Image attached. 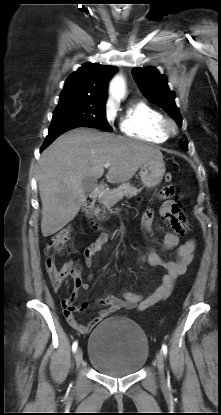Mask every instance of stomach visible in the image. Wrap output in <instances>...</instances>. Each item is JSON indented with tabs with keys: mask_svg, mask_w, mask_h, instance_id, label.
Wrapping results in <instances>:
<instances>
[{
	"mask_svg": "<svg viewBox=\"0 0 221 415\" xmlns=\"http://www.w3.org/2000/svg\"><path fill=\"white\" fill-rule=\"evenodd\" d=\"M165 170L163 159L155 158L145 162L139 173L142 184L149 189L158 186L162 182Z\"/></svg>",
	"mask_w": 221,
	"mask_h": 415,
	"instance_id": "stomach-1",
	"label": "stomach"
}]
</instances>
